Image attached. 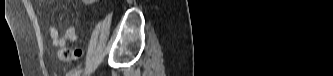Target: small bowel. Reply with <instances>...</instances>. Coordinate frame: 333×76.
<instances>
[{
	"instance_id": "small-bowel-1",
	"label": "small bowel",
	"mask_w": 333,
	"mask_h": 76,
	"mask_svg": "<svg viewBox=\"0 0 333 76\" xmlns=\"http://www.w3.org/2000/svg\"><path fill=\"white\" fill-rule=\"evenodd\" d=\"M50 40L53 46L62 48L68 42L73 43L78 38V33L75 25H70L67 27L61 35L55 26H51L49 29Z\"/></svg>"
}]
</instances>
